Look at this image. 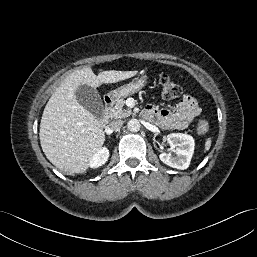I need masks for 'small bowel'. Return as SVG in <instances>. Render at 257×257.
I'll return each instance as SVG.
<instances>
[{
    "label": "small bowel",
    "instance_id": "1",
    "mask_svg": "<svg viewBox=\"0 0 257 257\" xmlns=\"http://www.w3.org/2000/svg\"><path fill=\"white\" fill-rule=\"evenodd\" d=\"M143 112L147 118L164 129L183 130L200 115L201 109L196 99L186 94L173 110L148 105Z\"/></svg>",
    "mask_w": 257,
    "mask_h": 257
}]
</instances>
